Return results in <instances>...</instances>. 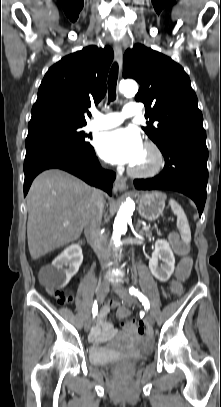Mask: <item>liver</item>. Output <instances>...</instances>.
<instances>
[{
  "label": "liver",
  "mask_w": 221,
  "mask_h": 407,
  "mask_svg": "<svg viewBox=\"0 0 221 407\" xmlns=\"http://www.w3.org/2000/svg\"><path fill=\"white\" fill-rule=\"evenodd\" d=\"M93 192L83 181L58 169L46 170L34 179L27 195V238L32 259L80 237ZM66 222L68 226H64Z\"/></svg>",
  "instance_id": "1"
}]
</instances>
